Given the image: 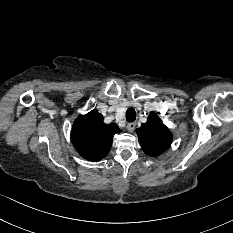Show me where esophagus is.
Masks as SVG:
<instances>
[{
	"mask_svg": "<svg viewBox=\"0 0 233 233\" xmlns=\"http://www.w3.org/2000/svg\"><path fill=\"white\" fill-rule=\"evenodd\" d=\"M135 126H136V123L131 122L127 124L126 128L129 132H132L135 129Z\"/></svg>",
	"mask_w": 233,
	"mask_h": 233,
	"instance_id": "1",
	"label": "esophagus"
}]
</instances>
